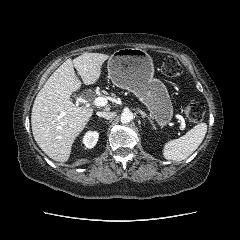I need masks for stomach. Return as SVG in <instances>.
Returning a JSON list of instances; mask_svg holds the SVG:
<instances>
[{
  "label": "stomach",
  "instance_id": "obj_1",
  "mask_svg": "<svg viewBox=\"0 0 240 240\" xmlns=\"http://www.w3.org/2000/svg\"><path fill=\"white\" fill-rule=\"evenodd\" d=\"M108 75L114 85L134 93L164 127L173 116L166 86L154 78L152 58L139 48H122L108 60Z\"/></svg>",
  "mask_w": 240,
  "mask_h": 240
}]
</instances>
